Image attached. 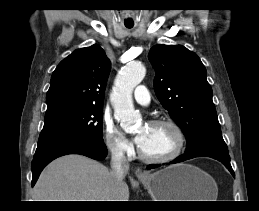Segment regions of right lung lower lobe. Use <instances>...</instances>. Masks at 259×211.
<instances>
[{
    "mask_svg": "<svg viewBox=\"0 0 259 211\" xmlns=\"http://www.w3.org/2000/svg\"><path fill=\"white\" fill-rule=\"evenodd\" d=\"M66 154H81L95 160H103L107 156V148L103 141L77 135L39 139L31 164L32 186L35 185L41 171L48 163Z\"/></svg>",
    "mask_w": 259,
    "mask_h": 211,
    "instance_id": "right-lung-lower-lobe-1",
    "label": "right lung lower lobe"
}]
</instances>
